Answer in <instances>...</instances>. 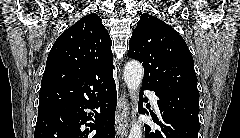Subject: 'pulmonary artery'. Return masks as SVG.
Listing matches in <instances>:
<instances>
[{
    "label": "pulmonary artery",
    "mask_w": 240,
    "mask_h": 138,
    "mask_svg": "<svg viewBox=\"0 0 240 138\" xmlns=\"http://www.w3.org/2000/svg\"><path fill=\"white\" fill-rule=\"evenodd\" d=\"M147 96L150 98L154 108L158 111V105H157V96L154 91H147Z\"/></svg>",
    "instance_id": "e3ab8cb5"
}]
</instances>
